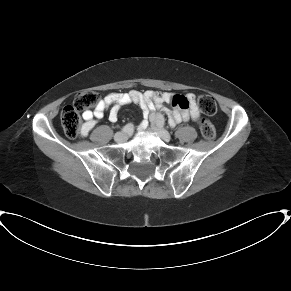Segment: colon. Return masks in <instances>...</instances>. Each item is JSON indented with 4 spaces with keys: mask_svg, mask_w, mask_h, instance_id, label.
<instances>
[{
    "mask_svg": "<svg viewBox=\"0 0 291 291\" xmlns=\"http://www.w3.org/2000/svg\"><path fill=\"white\" fill-rule=\"evenodd\" d=\"M99 101L100 95L94 90H84L76 94L73 103L66 106L60 116L61 125L67 137L73 139L81 134L82 121L80 113L93 108ZM198 105L205 114L213 115L217 111V104L214 98L208 94L201 95L198 98ZM200 129L205 139L214 138L215 128L208 120H200Z\"/></svg>",
    "mask_w": 291,
    "mask_h": 291,
    "instance_id": "colon-1",
    "label": "colon"
}]
</instances>
